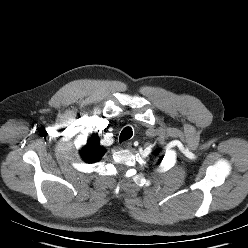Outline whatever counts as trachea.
Here are the masks:
<instances>
[{
	"label": "trachea",
	"mask_w": 248,
	"mask_h": 248,
	"mask_svg": "<svg viewBox=\"0 0 248 248\" xmlns=\"http://www.w3.org/2000/svg\"><path fill=\"white\" fill-rule=\"evenodd\" d=\"M132 135H133V131L130 127L124 128L120 134L119 142L121 143L123 141L130 139Z\"/></svg>",
	"instance_id": "1"
}]
</instances>
